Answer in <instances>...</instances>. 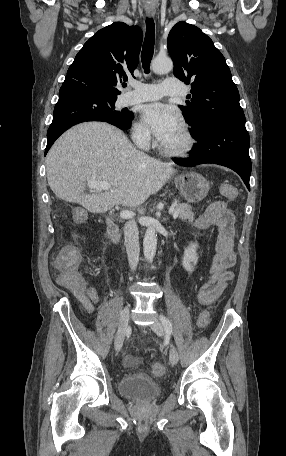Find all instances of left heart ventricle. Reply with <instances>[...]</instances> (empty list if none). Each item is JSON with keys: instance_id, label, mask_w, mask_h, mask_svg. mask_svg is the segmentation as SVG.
Returning <instances> with one entry per match:
<instances>
[{"instance_id": "left-heart-ventricle-1", "label": "left heart ventricle", "mask_w": 286, "mask_h": 456, "mask_svg": "<svg viewBox=\"0 0 286 456\" xmlns=\"http://www.w3.org/2000/svg\"><path fill=\"white\" fill-rule=\"evenodd\" d=\"M183 142H184V139H183L181 131L179 129L178 132L163 145L166 147H169V148H178L183 144Z\"/></svg>"}]
</instances>
